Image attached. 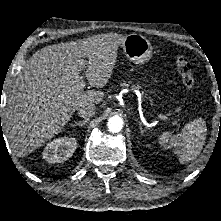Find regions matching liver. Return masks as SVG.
<instances>
[{
  "label": "liver",
  "mask_w": 221,
  "mask_h": 221,
  "mask_svg": "<svg viewBox=\"0 0 221 221\" xmlns=\"http://www.w3.org/2000/svg\"><path fill=\"white\" fill-rule=\"evenodd\" d=\"M125 37L107 33L54 44L26 61L8 99L4 120V131L16 156L24 157L51 140L82 105L102 101V91L78 89L80 72L86 68L89 84L103 88ZM84 57L88 61L82 64Z\"/></svg>",
  "instance_id": "liver-1"
}]
</instances>
